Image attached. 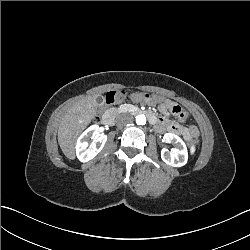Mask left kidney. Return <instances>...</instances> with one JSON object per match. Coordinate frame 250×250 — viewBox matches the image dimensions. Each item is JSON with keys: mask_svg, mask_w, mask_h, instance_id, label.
Instances as JSON below:
<instances>
[{"mask_svg": "<svg viewBox=\"0 0 250 250\" xmlns=\"http://www.w3.org/2000/svg\"><path fill=\"white\" fill-rule=\"evenodd\" d=\"M166 143L175 145L171 151L166 148L161 150L162 160L172 167H182L187 163L188 152L184 141L173 133H166L163 136Z\"/></svg>", "mask_w": 250, "mask_h": 250, "instance_id": "1", "label": "left kidney"}]
</instances>
